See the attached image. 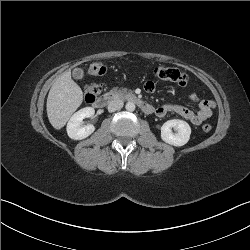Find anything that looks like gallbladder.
I'll list each match as a JSON object with an SVG mask.
<instances>
[{"mask_svg":"<svg viewBox=\"0 0 250 250\" xmlns=\"http://www.w3.org/2000/svg\"><path fill=\"white\" fill-rule=\"evenodd\" d=\"M72 76L75 78V79H82L83 76H84V72L81 68H75L73 71H72Z\"/></svg>","mask_w":250,"mask_h":250,"instance_id":"bac80fb5","label":"gallbladder"}]
</instances>
